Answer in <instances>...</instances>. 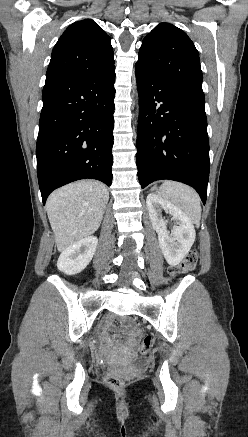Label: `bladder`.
<instances>
[{"label": "bladder", "instance_id": "31cf9c89", "mask_svg": "<svg viewBox=\"0 0 248 437\" xmlns=\"http://www.w3.org/2000/svg\"><path fill=\"white\" fill-rule=\"evenodd\" d=\"M141 364H142V361L141 360H137L133 364H131V366L137 367V366H140ZM122 369H124V367H121V366H118V367L114 368L115 371H119V370H122Z\"/></svg>", "mask_w": 248, "mask_h": 437}]
</instances>
